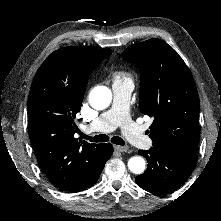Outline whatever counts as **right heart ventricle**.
Listing matches in <instances>:
<instances>
[{"label":"right heart ventricle","mask_w":221,"mask_h":221,"mask_svg":"<svg viewBox=\"0 0 221 221\" xmlns=\"http://www.w3.org/2000/svg\"><path fill=\"white\" fill-rule=\"evenodd\" d=\"M114 79L115 81L131 80V75L126 71H120L115 74Z\"/></svg>","instance_id":"e07e8e85"}]
</instances>
